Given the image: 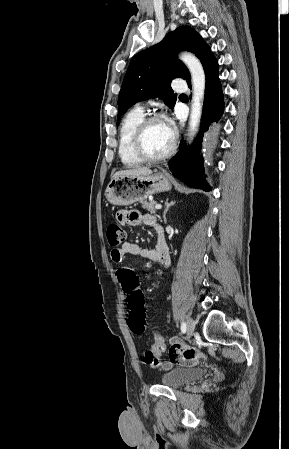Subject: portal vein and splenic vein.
Masks as SVG:
<instances>
[{"instance_id": "1", "label": "portal vein and splenic vein", "mask_w": 289, "mask_h": 449, "mask_svg": "<svg viewBox=\"0 0 289 449\" xmlns=\"http://www.w3.org/2000/svg\"><path fill=\"white\" fill-rule=\"evenodd\" d=\"M155 208H156V209H161V208H162V205H161V204H156V205H155Z\"/></svg>"}]
</instances>
